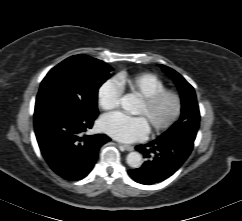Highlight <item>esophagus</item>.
<instances>
[{
	"mask_svg": "<svg viewBox=\"0 0 242 221\" xmlns=\"http://www.w3.org/2000/svg\"><path fill=\"white\" fill-rule=\"evenodd\" d=\"M119 147L126 150V151H133L134 147L131 145L119 144Z\"/></svg>",
	"mask_w": 242,
	"mask_h": 221,
	"instance_id": "34e87169",
	"label": "esophagus"
}]
</instances>
